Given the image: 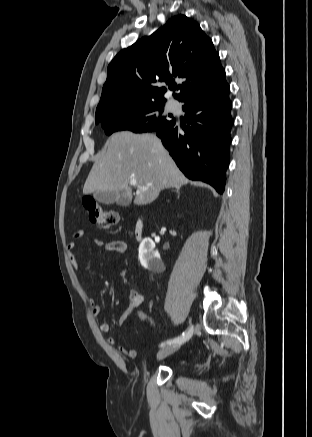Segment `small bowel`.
Segmentation results:
<instances>
[{
  "label": "small bowel",
  "instance_id": "1",
  "mask_svg": "<svg viewBox=\"0 0 312 437\" xmlns=\"http://www.w3.org/2000/svg\"><path fill=\"white\" fill-rule=\"evenodd\" d=\"M83 230H78L73 234V238L80 239L84 236ZM95 244L99 247H103L105 251L107 252H114V253H124L127 250V243L123 240H114L109 242H104L101 239H96ZM76 243L74 241H71L67 244V253L70 261L72 262L73 266L77 268V254L75 251ZM144 302V295L140 293L139 291L132 289L129 293V299L128 303L120 315L118 319V324H123L128 317L131 315V313L139 307ZM91 309L94 316H98L101 313V306L98 304L95 299H90ZM100 331L103 334H106L110 331L111 325L109 322L105 321L102 322L100 325ZM107 343L111 346L116 345V339L113 336L107 337ZM118 349L125 354L128 357H134L136 355V352L134 349L125 347V346H118Z\"/></svg>",
  "mask_w": 312,
  "mask_h": 437
}]
</instances>
